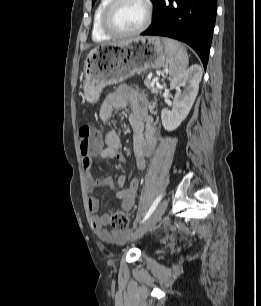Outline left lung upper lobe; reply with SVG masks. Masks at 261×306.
I'll return each mask as SVG.
<instances>
[{"instance_id": "5c2ea615", "label": "left lung upper lobe", "mask_w": 261, "mask_h": 306, "mask_svg": "<svg viewBox=\"0 0 261 306\" xmlns=\"http://www.w3.org/2000/svg\"><path fill=\"white\" fill-rule=\"evenodd\" d=\"M152 2L154 1V0H151ZM95 2V0H92V3H94Z\"/></svg>"}]
</instances>
